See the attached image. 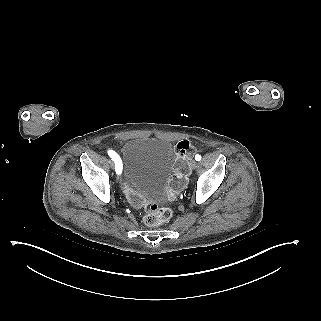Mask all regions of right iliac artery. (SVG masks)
Instances as JSON below:
<instances>
[{
    "mask_svg": "<svg viewBox=\"0 0 321 321\" xmlns=\"http://www.w3.org/2000/svg\"><path fill=\"white\" fill-rule=\"evenodd\" d=\"M108 155L112 158V160L115 163L116 173L120 174L121 173V163H120L119 156L112 150L108 151Z\"/></svg>",
    "mask_w": 321,
    "mask_h": 321,
    "instance_id": "right-iliac-artery-1",
    "label": "right iliac artery"
}]
</instances>
